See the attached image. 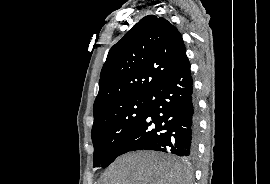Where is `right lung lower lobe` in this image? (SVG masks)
Returning a JSON list of instances; mask_svg holds the SVG:
<instances>
[{
    "mask_svg": "<svg viewBox=\"0 0 270 184\" xmlns=\"http://www.w3.org/2000/svg\"><path fill=\"white\" fill-rule=\"evenodd\" d=\"M147 112L119 155L150 149L193 157L197 119L188 58L147 96Z\"/></svg>",
    "mask_w": 270,
    "mask_h": 184,
    "instance_id": "obj_1",
    "label": "right lung lower lobe"
}]
</instances>
